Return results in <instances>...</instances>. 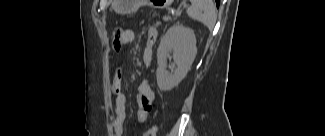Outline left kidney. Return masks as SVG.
Instances as JSON below:
<instances>
[{"label": "left kidney", "instance_id": "obj_1", "mask_svg": "<svg viewBox=\"0 0 325 136\" xmlns=\"http://www.w3.org/2000/svg\"><path fill=\"white\" fill-rule=\"evenodd\" d=\"M173 52L175 67L167 70V58ZM197 54L196 37L193 30L181 24L171 26L162 37L157 49V85L161 91L176 87L189 72Z\"/></svg>", "mask_w": 325, "mask_h": 136}]
</instances>
